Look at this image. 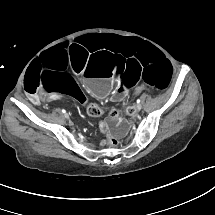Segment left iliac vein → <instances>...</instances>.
<instances>
[{
  "label": "left iliac vein",
  "mask_w": 215,
  "mask_h": 215,
  "mask_svg": "<svg viewBox=\"0 0 215 215\" xmlns=\"http://www.w3.org/2000/svg\"><path fill=\"white\" fill-rule=\"evenodd\" d=\"M137 109L140 110V109H141V106H138V105H137Z\"/></svg>",
  "instance_id": "obj_1"
}]
</instances>
